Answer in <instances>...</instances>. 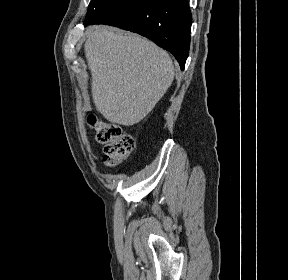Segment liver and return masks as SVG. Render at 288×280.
Instances as JSON below:
<instances>
[{
    "label": "liver",
    "instance_id": "liver-1",
    "mask_svg": "<svg viewBox=\"0 0 288 280\" xmlns=\"http://www.w3.org/2000/svg\"><path fill=\"white\" fill-rule=\"evenodd\" d=\"M84 50L93 102L110 122L137 124L173 82L174 66L167 52L137 34L96 27Z\"/></svg>",
    "mask_w": 288,
    "mask_h": 280
}]
</instances>
